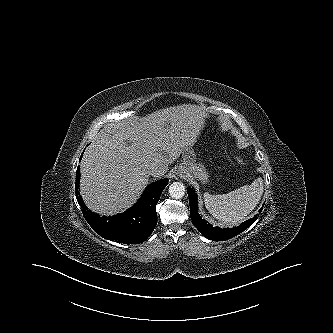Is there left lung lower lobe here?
<instances>
[{
  "label": "left lung lower lobe",
  "instance_id": "1",
  "mask_svg": "<svg viewBox=\"0 0 333 333\" xmlns=\"http://www.w3.org/2000/svg\"><path fill=\"white\" fill-rule=\"evenodd\" d=\"M188 196H189V204H190V216L193 224L199 230V232L206 238L213 241H225L227 239H231L243 232L245 229L250 227L257 219V215L253 218L243 222L238 227L233 228H219L213 227L207 221L203 220L202 217L198 213L197 206V197L193 188H187ZM262 208L259 210L261 212Z\"/></svg>",
  "mask_w": 333,
  "mask_h": 333
}]
</instances>
